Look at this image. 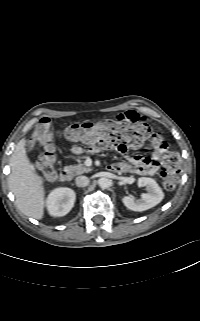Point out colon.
Wrapping results in <instances>:
<instances>
[{"mask_svg":"<svg viewBox=\"0 0 200 321\" xmlns=\"http://www.w3.org/2000/svg\"><path fill=\"white\" fill-rule=\"evenodd\" d=\"M64 136L75 142L89 147L101 146L126 152L128 148H140L149 144L154 148L165 147L161 135L148 123L137 118L118 116L115 119H104L95 123L74 124L64 130ZM30 148L43 147L38 167L46 178L55 175V155L52 134V122L43 118L37 124L32 138L29 140ZM181 168L179 158L173 153L164 156V170L162 183L167 190H173L179 181Z\"/></svg>","mask_w":200,"mask_h":321,"instance_id":"5ec220e1","label":"colon"}]
</instances>
